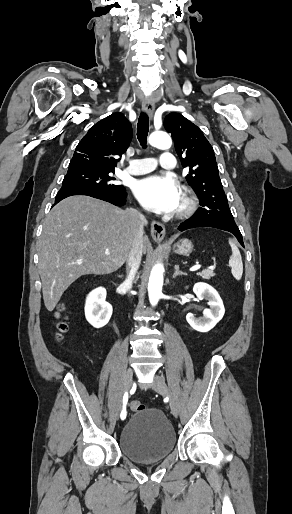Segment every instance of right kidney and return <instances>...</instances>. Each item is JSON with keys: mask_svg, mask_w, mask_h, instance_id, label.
Returning a JSON list of instances; mask_svg holds the SVG:
<instances>
[{"mask_svg": "<svg viewBox=\"0 0 292 514\" xmlns=\"http://www.w3.org/2000/svg\"><path fill=\"white\" fill-rule=\"evenodd\" d=\"M106 290L105 288H96L89 294L85 304V316L89 324L94 328H103L108 324L113 308L111 304L105 302Z\"/></svg>", "mask_w": 292, "mask_h": 514, "instance_id": "right-kidney-1", "label": "right kidney"}]
</instances>
